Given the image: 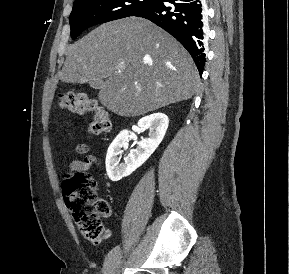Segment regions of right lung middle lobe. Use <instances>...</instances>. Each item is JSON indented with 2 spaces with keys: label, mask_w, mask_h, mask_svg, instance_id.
<instances>
[{
  "label": "right lung middle lobe",
  "mask_w": 289,
  "mask_h": 274,
  "mask_svg": "<svg viewBox=\"0 0 289 274\" xmlns=\"http://www.w3.org/2000/svg\"><path fill=\"white\" fill-rule=\"evenodd\" d=\"M155 0H75L69 21L75 39L85 29L100 23L135 16Z\"/></svg>",
  "instance_id": "obj_1"
}]
</instances>
